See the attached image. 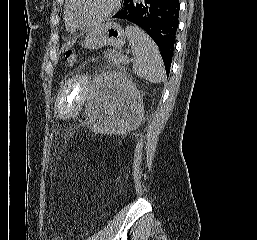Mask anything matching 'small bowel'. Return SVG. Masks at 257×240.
<instances>
[{
  "mask_svg": "<svg viewBox=\"0 0 257 240\" xmlns=\"http://www.w3.org/2000/svg\"><path fill=\"white\" fill-rule=\"evenodd\" d=\"M94 60H96V58H91L89 61H94Z\"/></svg>",
  "mask_w": 257,
  "mask_h": 240,
  "instance_id": "obj_1",
  "label": "small bowel"
}]
</instances>
